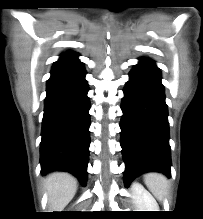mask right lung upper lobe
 Wrapping results in <instances>:
<instances>
[{
	"label": "right lung upper lobe",
	"instance_id": "right-lung-upper-lobe-1",
	"mask_svg": "<svg viewBox=\"0 0 203 219\" xmlns=\"http://www.w3.org/2000/svg\"><path fill=\"white\" fill-rule=\"evenodd\" d=\"M76 56H78V54L75 52H66L61 55V58H70V57H76Z\"/></svg>",
	"mask_w": 203,
	"mask_h": 219
}]
</instances>
